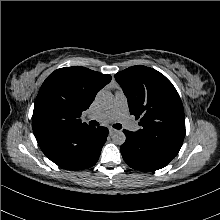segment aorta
<instances>
[{
  "mask_svg": "<svg viewBox=\"0 0 220 220\" xmlns=\"http://www.w3.org/2000/svg\"><path fill=\"white\" fill-rule=\"evenodd\" d=\"M113 95L108 91H100L96 96L97 104L102 108H108L113 104ZM113 142L117 145H122L126 136L121 130H117L112 136Z\"/></svg>",
  "mask_w": 220,
  "mask_h": 220,
  "instance_id": "obj_1",
  "label": "aorta"
}]
</instances>
